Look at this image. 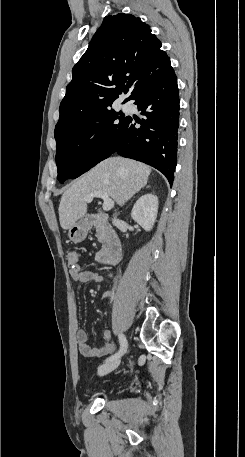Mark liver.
Here are the masks:
<instances>
[{
  "instance_id": "liver-1",
  "label": "liver",
  "mask_w": 245,
  "mask_h": 457,
  "mask_svg": "<svg viewBox=\"0 0 245 457\" xmlns=\"http://www.w3.org/2000/svg\"><path fill=\"white\" fill-rule=\"evenodd\" d=\"M150 172V166L131 158L110 156L102 160L86 174L74 180L63 192L59 204L62 229H71L76 220L86 214L87 204L84 198L90 196L94 190L108 192L118 204H124L147 184Z\"/></svg>"
}]
</instances>
